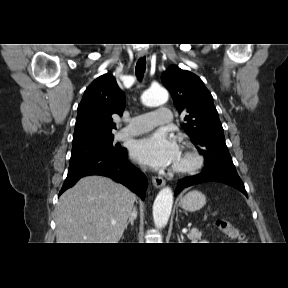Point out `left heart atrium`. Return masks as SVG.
Here are the masks:
<instances>
[{"label": "left heart atrium", "mask_w": 288, "mask_h": 288, "mask_svg": "<svg viewBox=\"0 0 288 288\" xmlns=\"http://www.w3.org/2000/svg\"><path fill=\"white\" fill-rule=\"evenodd\" d=\"M132 157L153 168H165L177 163L180 156L176 141L165 131H156L133 142Z\"/></svg>", "instance_id": "1"}]
</instances>
